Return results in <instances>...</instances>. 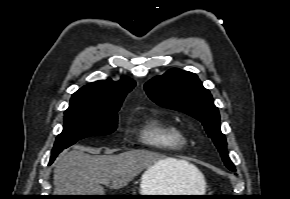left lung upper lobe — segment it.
Listing matches in <instances>:
<instances>
[{"label":"left lung upper lobe","mask_w":290,"mask_h":199,"mask_svg":"<svg viewBox=\"0 0 290 199\" xmlns=\"http://www.w3.org/2000/svg\"><path fill=\"white\" fill-rule=\"evenodd\" d=\"M144 88L150 99L158 105L184 112L199 120L218 148L226 167L235 171L227 154L225 136L220 130L218 108L214 105L209 90L203 87L196 74L170 69L148 81Z\"/></svg>","instance_id":"obj_1"}]
</instances>
